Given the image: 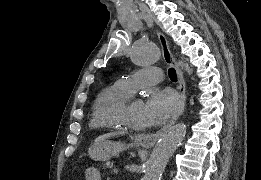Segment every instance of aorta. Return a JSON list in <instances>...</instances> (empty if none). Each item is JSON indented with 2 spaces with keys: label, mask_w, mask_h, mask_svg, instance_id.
<instances>
[{
  "label": "aorta",
  "mask_w": 261,
  "mask_h": 180,
  "mask_svg": "<svg viewBox=\"0 0 261 180\" xmlns=\"http://www.w3.org/2000/svg\"><path fill=\"white\" fill-rule=\"evenodd\" d=\"M160 57V49L152 43L137 42L131 51L133 63L139 66L151 65L158 61ZM186 71L190 73L188 68H186ZM186 129L184 123H178L165 132L145 164L143 180H161L170 157L185 138Z\"/></svg>",
  "instance_id": "762f6f07"
}]
</instances>
